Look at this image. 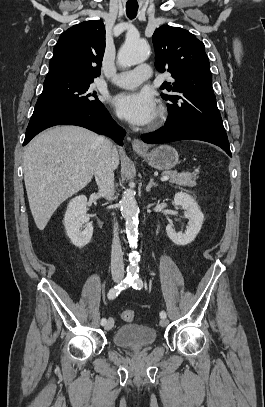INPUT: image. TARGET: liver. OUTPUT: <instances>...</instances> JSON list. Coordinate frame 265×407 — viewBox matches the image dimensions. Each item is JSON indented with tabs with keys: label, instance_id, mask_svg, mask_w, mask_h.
Segmentation results:
<instances>
[{
	"label": "liver",
	"instance_id": "liver-1",
	"mask_svg": "<svg viewBox=\"0 0 265 407\" xmlns=\"http://www.w3.org/2000/svg\"><path fill=\"white\" fill-rule=\"evenodd\" d=\"M99 136L82 127L58 126L25 148L24 182L35 224L44 230L55 210L92 180ZM119 165L116 149L114 169Z\"/></svg>",
	"mask_w": 265,
	"mask_h": 407
}]
</instances>
